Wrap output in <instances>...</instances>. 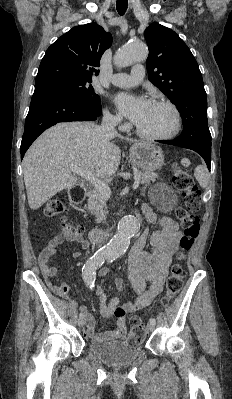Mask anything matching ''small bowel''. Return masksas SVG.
Listing matches in <instances>:
<instances>
[{"label": "small bowel", "mask_w": 232, "mask_h": 399, "mask_svg": "<svg viewBox=\"0 0 232 399\" xmlns=\"http://www.w3.org/2000/svg\"><path fill=\"white\" fill-rule=\"evenodd\" d=\"M143 210L149 219L154 221V213L151 205L144 203ZM181 236L182 234L177 224L172 220L166 219L160 222V229L151 236L143 232L135 238L128 255L129 266L127 269L132 290L136 294L134 303L120 305L116 298L107 303L106 294L102 288L99 286L96 288L97 297L101 304V315L106 318L117 315L119 317L118 330L96 333V315L87 306L80 307V310L85 315V320L79 324L78 328L93 345H102L104 339L108 340L111 345H118L128 330L125 322V314L129 311L148 308L155 304L157 296L164 288L168 267L176 252ZM148 242L151 243L153 249L151 252L145 253L143 248ZM81 247L87 250L90 248V244L82 242ZM57 254V242L51 241L49 243L48 255L55 256ZM72 257L80 259L81 253L76 251L72 254ZM99 274L103 277L109 276L113 278L117 284V291L120 294L125 292V284L112 268L104 267L99 271ZM143 278H147L151 285L146 294L141 296L144 290Z\"/></svg>", "instance_id": "obj_1"}]
</instances>
